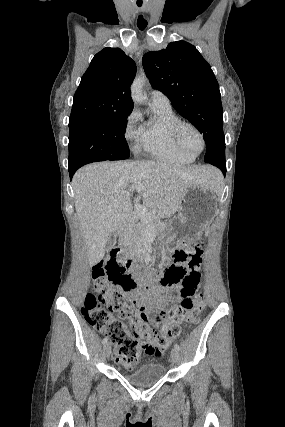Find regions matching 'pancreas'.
I'll use <instances>...</instances> for the list:
<instances>
[{
  "label": "pancreas",
  "mask_w": 285,
  "mask_h": 427,
  "mask_svg": "<svg viewBox=\"0 0 285 427\" xmlns=\"http://www.w3.org/2000/svg\"><path fill=\"white\" fill-rule=\"evenodd\" d=\"M135 218L136 220L125 229L121 236L120 243L124 246H133L134 244H138L150 229L158 231L162 227L154 212L151 213L150 218L147 219L139 215H135ZM137 219L140 220V222H137Z\"/></svg>",
  "instance_id": "cf45deb5"
}]
</instances>
